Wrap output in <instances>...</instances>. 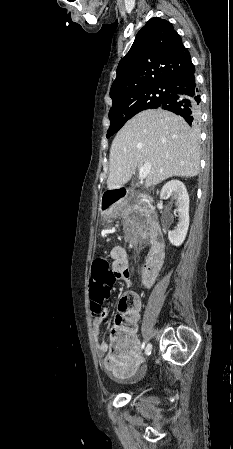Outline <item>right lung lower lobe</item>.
Segmentation results:
<instances>
[{"label": "right lung lower lobe", "mask_w": 233, "mask_h": 449, "mask_svg": "<svg viewBox=\"0 0 233 449\" xmlns=\"http://www.w3.org/2000/svg\"><path fill=\"white\" fill-rule=\"evenodd\" d=\"M168 87V96L156 108L174 112L196 127L200 117V94L194 71L172 80Z\"/></svg>", "instance_id": "98d812e1"}]
</instances>
